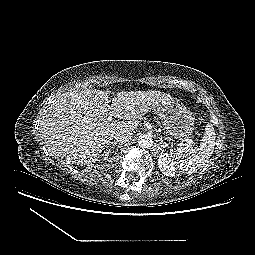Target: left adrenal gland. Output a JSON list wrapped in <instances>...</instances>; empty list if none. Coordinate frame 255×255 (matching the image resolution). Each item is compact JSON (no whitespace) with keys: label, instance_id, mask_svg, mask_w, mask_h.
Masks as SVG:
<instances>
[{"label":"left adrenal gland","instance_id":"1","mask_svg":"<svg viewBox=\"0 0 255 255\" xmlns=\"http://www.w3.org/2000/svg\"><path fill=\"white\" fill-rule=\"evenodd\" d=\"M159 145L161 148H166L168 146L167 143L162 140V138L159 139Z\"/></svg>","mask_w":255,"mask_h":255}]
</instances>
